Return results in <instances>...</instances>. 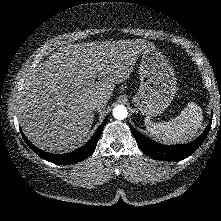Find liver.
I'll return each instance as SVG.
<instances>
[{
    "label": "liver",
    "mask_w": 221,
    "mask_h": 221,
    "mask_svg": "<svg viewBox=\"0 0 221 221\" xmlns=\"http://www.w3.org/2000/svg\"><path fill=\"white\" fill-rule=\"evenodd\" d=\"M151 48L145 40L60 47L24 81L19 121L26 137L49 152L81 144L94 121L93 102H108L115 84L129 78L138 57Z\"/></svg>",
    "instance_id": "1"
}]
</instances>
